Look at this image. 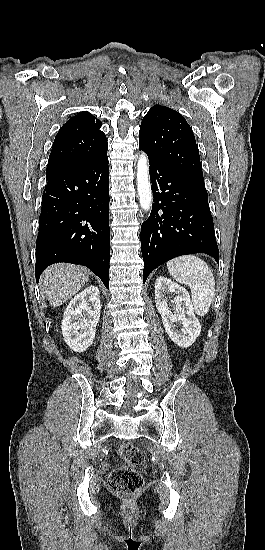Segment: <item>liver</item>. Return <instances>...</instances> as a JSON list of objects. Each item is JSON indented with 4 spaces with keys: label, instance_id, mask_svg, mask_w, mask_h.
<instances>
[{
    "label": "liver",
    "instance_id": "liver-1",
    "mask_svg": "<svg viewBox=\"0 0 265 550\" xmlns=\"http://www.w3.org/2000/svg\"><path fill=\"white\" fill-rule=\"evenodd\" d=\"M89 272L84 267L58 263L48 267L41 277L51 306L58 307L74 296L88 281Z\"/></svg>",
    "mask_w": 265,
    "mask_h": 550
}]
</instances>
